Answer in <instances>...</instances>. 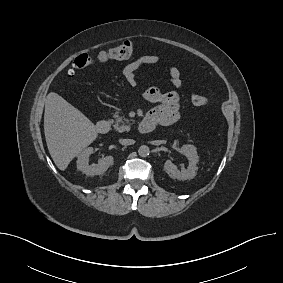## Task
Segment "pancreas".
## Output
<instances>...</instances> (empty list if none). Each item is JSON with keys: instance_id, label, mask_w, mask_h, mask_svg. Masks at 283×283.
<instances>
[{"instance_id": "1", "label": "pancreas", "mask_w": 283, "mask_h": 283, "mask_svg": "<svg viewBox=\"0 0 283 283\" xmlns=\"http://www.w3.org/2000/svg\"><path fill=\"white\" fill-rule=\"evenodd\" d=\"M116 118V123L114 124V128L119 132L129 131L130 123L129 120L124 116H119L117 113L114 115Z\"/></svg>"}]
</instances>
